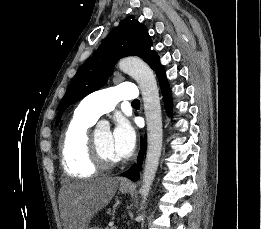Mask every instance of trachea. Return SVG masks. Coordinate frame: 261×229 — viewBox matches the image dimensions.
I'll use <instances>...</instances> for the list:
<instances>
[{
	"instance_id": "1",
	"label": "trachea",
	"mask_w": 261,
	"mask_h": 229,
	"mask_svg": "<svg viewBox=\"0 0 261 229\" xmlns=\"http://www.w3.org/2000/svg\"><path fill=\"white\" fill-rule=\"evenodd\" d=\"M133 104H140V101L138 100V99H135V100H133V102H132V105Z\"/></svg>"
}]
</instances>
